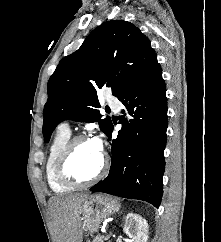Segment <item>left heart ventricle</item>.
<instances>
[{
    "label": "left heart ventricle",
    "instance_id": "obj_1",
    "mask_svg": "<svg viewBox=\"0 0 221 242\" xmlns=\"http://www.w3.org/2000/svg\"><path fill=\"white\" fill-rule=\"evenodd\" d=\"M102 162V152L90 140L78 143L72 153L69 171L76 177L88 179L95 175Z\"/></svg>",
    "mask_w": 221,
    "mask_h": 242
}]
</instances>
